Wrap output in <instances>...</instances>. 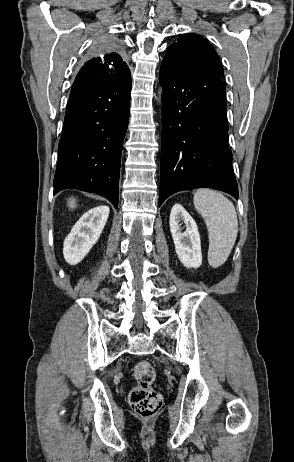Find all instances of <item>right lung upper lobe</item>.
Returning a JSON list of instances; mask_svg holds the SVG:
<instances>
[{
    "label": "right lung upper lobe",
    "mask_w": 294,
    "mask_h": 462,
    "mask_svg": "<svg viewBox=\"0 0 294 462\" xmlns=\"http://www.w3.org/2000/svg\"><path fill=\"white\" fill-rule=\"evenodd\" d=\"M129 74V68L117 49L104 50L83 65L75 78L71 93L97 89L122 80Z\"/></svg>",
    "instance_id": "cb5924a9"
}]
</instances>
